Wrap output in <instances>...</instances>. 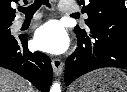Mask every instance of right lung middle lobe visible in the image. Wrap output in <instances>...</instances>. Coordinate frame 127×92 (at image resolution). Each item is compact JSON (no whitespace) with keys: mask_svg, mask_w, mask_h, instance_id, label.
Listing matches in <instances>:
<instances>
[{"mask_svg":"<svg viewBox=\"0 0 127 92\" xmlns=\"http://www.w3.org/2000/svg\"><path fill=\"white\" fill-rule=\"evenodd\" d=\"M11 24L0 25V36H11L9 27Z\"/></svg>","mask_w":127,"mask_h":92,"instance_id":"obj_1","label":"right lung middle lobe"}]
</instances>
